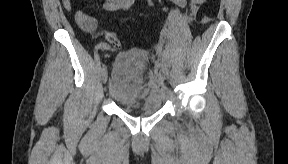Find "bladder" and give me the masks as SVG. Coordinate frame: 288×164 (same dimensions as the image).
Returning <instances> with one entry per match:
<instances>
[{
  "mask_svg": "<svg viewBox=\"0 0 288 164\" xmlns=\"http://www.w3.org/2000/svg\"><path fill=\"white\" fill-rule=\"evenodd\" d=\"M147 56L142 51H128L116 59L108 93L126 113L152 114L160 110V100L144 83L143 70Z\"/></svg>",
  "mask_w": 288,
  "mask_h": 164,
  "instance_id": "bladder-1",
  "label": "bladder"
}]
</instances>
